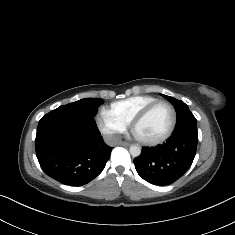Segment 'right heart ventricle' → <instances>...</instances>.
I'll list each match as a JSON object with an SVG mask.
<instances>
[{
    "label": "right heart ventricle",
    "mask_w": 235,
    "mask_h": 235,
    "mask_svg": "<svg viewBox=\"0 0 235 235\" xmlns=\"http://www.w3.org/2000/svg\"><path fill=\"white\" fill-rule=\"evenodd\" d=\"M158 98L151 94H140L114 102L110 105L111 113L123 124L130 125L133 118Z\"/></svg>",
    "instance_id": "obj_1"
}]
</instances>
